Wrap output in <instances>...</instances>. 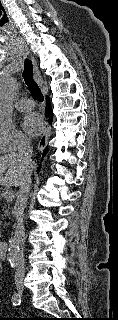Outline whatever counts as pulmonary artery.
<instances>
[{
	"label": "pulmonary artery",
	"mask_w": 118,
	"mask_h": 320,
	"mask_svg": "<svg viewBox=\"0 0 118 320\" xmlns=\"http://www.w3.org/2000/svg\"><path fill=\"white\" fill-rule=\"evenodd\" d=\"M15 106L19 111H29L34 107V102L31 99L23 98L17 101Z\"/></svg>",
	"instance_id": "obj_1"
}]
</instances>
